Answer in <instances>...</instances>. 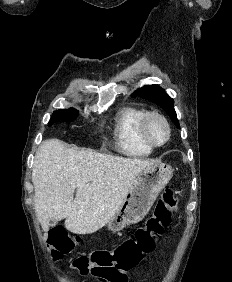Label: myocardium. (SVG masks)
Returning a JSON list of instances; mask_svg holds the SVG:
<instances>
[{
    "instance_id": "myocardium-1",
    "label": "myocardium",
    "mask_w": 232,
    "mask_h": 282,
    "mask_svg": "<svg viewBox=\"0 0 232 282\" xmlns=\"http://www.w3.org/2000/svg\"><path fill=\"white\" fill-rule=\"evenodd\" d=\"M156 119L162 122L166 129V137L162 142L153 141L148 134V124L151 120ZM138 135L141 141L149 146L150 148H159L168 143L171 137V126L167 118L159 112L147 111L145 112L139 120L138 123Z\"/></svg>"
}]
</instances>
